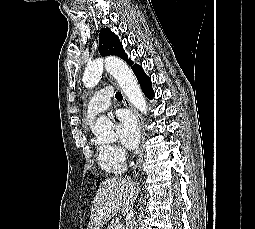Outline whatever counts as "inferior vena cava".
I'll use <instances>...</instances> for the list:
<instances>
[{"label":"inferior vena cava","mask_w":255,"mask_h":229,"mask_svg":"<svg viewBox=\"0 0 255 229\" xmlns=\"http://www.w3.org/2000/svg\"><path fill=\"white\" fill-rule=\"evenodd\" d=\"M134 212L131 210L127 216L126 229H133L134 227Z\"/></svg>","instance_id":"inferior-vena-cava-1"}]
</instances>
